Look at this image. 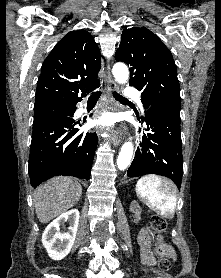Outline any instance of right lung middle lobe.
I'll use <instances>...</instances> for the list:
<instances>
[{"mask_svg":"<svg viewBox=\"0 0 221 278\" xmlns=\"http://www.w3.org/2000/svg\"><path fill=\"white\" fill-rule=\"evenodd\" d=\"M70 107L63 101H52L35 105L33 125L53 116L70 115Z\"/></svg>","mask_w":221,"mask_h":278,"instance_id":"1","label":"right lung middle lobe"}]
</instances>
